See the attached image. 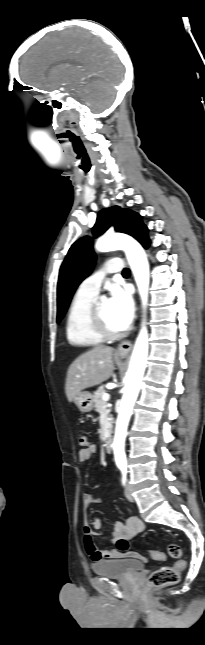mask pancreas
Instances as JSON below:
<instances>
[{
  "instance_id": "1",
  "label": "pancreas",
  "mask_w": 205,
  "mask_h": 645,
  "mask_svg": "<svg viewBox=\"0 0 205 645\" xmlns=\"http://www.w3.org/2000/svg\"><path fill=\"white\" fill-rule=\"evenodd\" d=\"M106 393V390L103 387H99L95 392H94V407L96 412L100 413L103 411V409L106 407V402L103 400L102 396L103 394ZM110 419H112V415L109 414Z\"/></svg>"
}]
</instances>
